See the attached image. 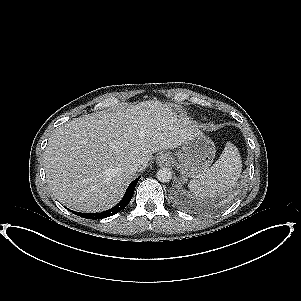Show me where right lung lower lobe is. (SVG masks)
<instances>
[{"label":"right lung lower lobe","mask_w":301,"mask_h":301,"mask_svg":"<svg viewBox=\"0 0 301 301\" xmlns=\"http://www.w3.org/2000/svg\"><path fill=\"white\" fill-rule=\"evenodd\" d=\"M139 179H140V177L136 178L129 185V187L127 188L126 193H125L123 199L120 201V203L107 211H104L101 213H88V214L87 213H77V212H73V211L72 212L83 218H87V219H102V218H107L112 215H115L128 205V203L132 199V196H133V193L135 190V186H136L137 182L139 181Z\"/></svg>","instance_id":"98d812e1"}]
</instances>
